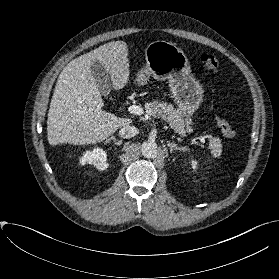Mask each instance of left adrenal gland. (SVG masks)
Here are the masks:
<instances>
[{"label": "left adrenal gland", "mask_w": 279, "mask_h": 279, "mask_svg": "<svg viewBox=\"0 0 279 279\" xmlns=\"http://www.w3.org/2000/svg\"><path fill=\"white\" fill-rule=\"evenodd\" d=\"M167 145L170 148L171 153L173 152V150H179V151H184V152L188 150L186 146H178L174 142L167 141Z\"/></svg>", "instance_id": "a2214340"}]
</instances>
